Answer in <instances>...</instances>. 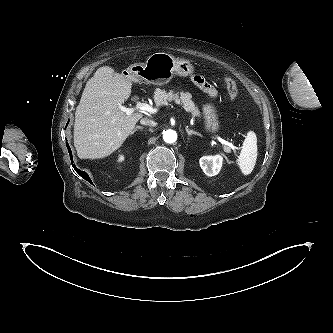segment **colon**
I'll use <instances>...</instances> for the list:
<instances>
[{
    "label": "colon",
    "mask_w": 333,
    "mask_h": 333,
    "mask_svg": "<svg viewBox=\"0 0 333 333\" xmlns=\"http://www.w3.org/2000/svg\"><path fill=\"white\" fill-rule=\"evenodd\" d=\"M225 87L231 99H236L238 96V89L235 81L229 77H226L225 80Z\"/></svg>",
    "instance_id": "5ec220e1"
}]
</instances>
